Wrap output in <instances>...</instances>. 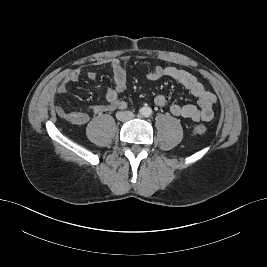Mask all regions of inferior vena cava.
Masks as SVG:
<instances>
[{
	"label": "inferior vena cava",
	"mask_w": 267,
	"mask_h": 267,
	"mask_svg": "<svg viewBox=\"0 0 267 267\" xmlns=\"http://www.w3.org/2000/svg\"><path fill=\"white\" fill-rule=\"evenodd\" d=\"M116 118L120 121H128L134 118V114L131 111H121L116 113Z\"/></svg>",
	"instance_id": "602c4592"
}]
</instances>
